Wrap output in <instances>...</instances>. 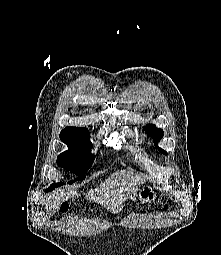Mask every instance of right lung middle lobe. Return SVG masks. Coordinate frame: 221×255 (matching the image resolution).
<instances>
[{
  "label": "right lung middle lobe",
  "instance_id": "dd1d6c3e",
  "mask_svg": "<svg viewBox=\"0 0 221 255\" xmlns=\"http://www.w3.org/2000/svg\"><path fill=\"white\" fill-rule=\"evenodd\" d=\"M89 135L90 134L87 132L65 129L60 133L61 141L64 142L69 149L58 156L57 164L78 176L74 181H69L68 184L76 180H83L85 178V173L94 161V155L89 153L93 147ZM60 185H62V182L54 183L48 189L52 190Z\"/></svg>",
  "mask_w": 221,
  "mask_h": 255
}]
</instances>
